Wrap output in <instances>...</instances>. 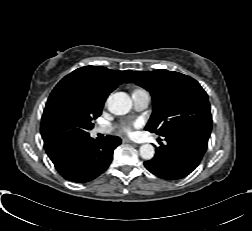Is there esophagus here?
<instances>
[{
	"instance_id": "34e87169",
	"label": "esophagus",
	"mask_w": 252,
	"mask_h": 231,
	"mask_svg": "<svg viewBox=\"0 0 252 231\" xmlns=\"http://www.w3.org/2000/svg\"><path fill=\"white\" fill-rule=\"evenodd\" d=\"M123 142H124V143H130V144L136 145L133 141H131L130 139H127V138H124V139H123Z\"/></svg>"
}]
</instances>
